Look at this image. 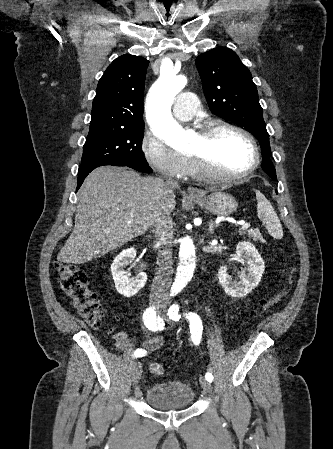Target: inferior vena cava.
<instances>
[{"label": "inferior vena cava", "mask_w": 333, "mask_h": 449, "mask_svg": "<svg viewBox=\"0 0 333 449\" xmlns=\"http://www.w3.org/2000/svg\"><path fill=\"white\" fill-rule=\"evenodd\" d=\"M170 184H176L170 182ZM153 236L157 245V267L156 276L151 289V301H155L161 296L168 294L172 275V241L173 224L171 214L168 209L161 206V211L155 212L152 220Z\"/></svg>", "instance_id": "602c4592"}]
</instances>
